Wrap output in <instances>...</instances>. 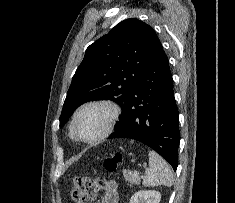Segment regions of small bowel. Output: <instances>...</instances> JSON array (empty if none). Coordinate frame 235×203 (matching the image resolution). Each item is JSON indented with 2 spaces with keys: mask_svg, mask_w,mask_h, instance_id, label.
<instances>
[{
  "mask_svg": "<svg viewBox=\"0 0 235 203\" xmlns=\"http://www.w3.org/2000/svg\"><path fill=\"white\" fill-rule=\"evenodd\" d=\"M119 193L114 181H108L102 198L97 203H118Z\"/></svg>",
  "mask_w": 235,
  "mask_h": 203,
  "instance_id": "obj_1",
  "label": "small bowel"
}]
</instances>
